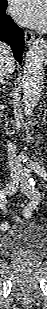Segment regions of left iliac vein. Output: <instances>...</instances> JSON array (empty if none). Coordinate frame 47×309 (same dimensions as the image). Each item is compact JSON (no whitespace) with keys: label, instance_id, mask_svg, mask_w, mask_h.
<instances>
[{"label":"left iliac vein","instance_id":"left-iliac-vein-1","mask_svg":"<svg viewBox=\"0 0 47 309\" xmlns=\"http://www.w3.org/2000/svg\"><path fill=\"white\" fill-rule=\"evenodd\" d=\"M21 191L31 200L29 208L34 209L36 205L40 202L41 198L38 189L34 186H31L27 182H24L21 184Z\"/></svg>","mask_w":47,"mask_h":309}]
</instances>
